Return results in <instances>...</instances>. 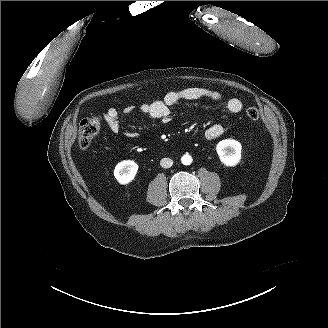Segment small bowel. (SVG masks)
<instances>
[{"mask_svg":"<svg viewBox=\"0 0 328 328\" xmlns=\"http://www.w3.org/2000/svg\"><path fill=\"white\" fill-rule=\"evenodd\" d=\"M203 98L224 104L226 109L234 114L241 112L243 109V103L238 98H225L220 91L214 89L188 87L178 91H170L163 99L145 103L140 106L139 111L151 119L159 120L166 124L171 119V107L173 105L181 100L194 101ZM134 111L135 107L133 105L126 106L122 112H119L116 108H109L104 113V120L113 133H119L121 131V115H130ZM223 132L224 129L220 124H214L205 131V137L208 140H216L222 136ZM124 135L128 138L135 136L132 132H124Z\"/></svg>","mask_w":328,"mask_h":328,"instance_id":"c3829d8e","label":"small bowel"}]
</instances>
